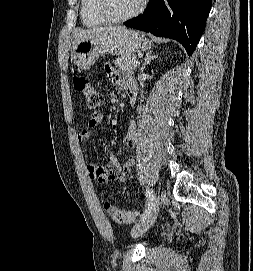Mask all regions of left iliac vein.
I'll return each mask as SVG.
<instances>
[{
  "label": "left iliac vein",
  "instance_id": "left-iliac-vein-1",
  "mask_svg": "<svg viewBox=\"0 0 253 271\" xmlns=\"http://www.w3.org/2000/svg\"><path fill=\"white\" fill-rule=\"evenodd\" d=\"M163 194L154 196L146 215L141 217L139 222L132 228L131 234L133 237H139L144 234L155 223L159 210V201Z\"/></svg>",
  "mask_w": 253,
  "mask_h": 271
}]
</instances>
